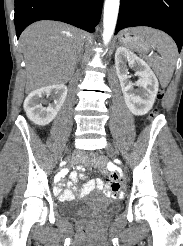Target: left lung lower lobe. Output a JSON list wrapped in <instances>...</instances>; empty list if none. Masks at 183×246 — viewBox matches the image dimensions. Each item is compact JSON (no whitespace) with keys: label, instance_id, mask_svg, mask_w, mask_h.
Returning <instances> with one entry per match:
<instances>
[{"label":"left lung lower lobe","instance_id":"1","mask_svg":"<svg viewBox=\"0 0 183 246\" xmlns=\"http://www.w3.org/2000/svg\"><path fill=\"white\" fill-rule=\"evenodd\" d=\"M134 26H149L166 32L180 52L183 45V0H121L115 34Z\"/></svg>","mask_w":183,"mask_h":246}]
</instances>
